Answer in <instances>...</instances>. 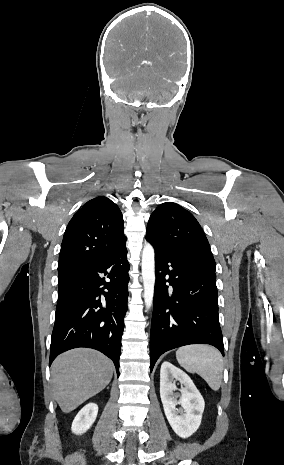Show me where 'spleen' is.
Here are the masks:
<instances>
[{
  "instance_id": "3e777b00",
  "label": "spleen",
  "mask_w": 284,
  "mask_h": 465,
  "mask_svg": "<svg viewBox=\"0 0 284 465\" xmlns=\"http://www.w3.org/2000/svg\"><path fill=\"white\" fill-rule=\"evenodd\" d=\"M176 359L187 373H197L213 391H219L224 367L217 349L209 345H187L176 351Z\"/></svg>"
}]
</instances>
